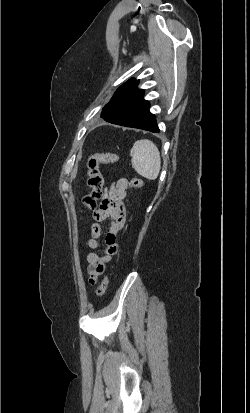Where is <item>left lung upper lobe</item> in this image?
<instances>
[{
	"label": "left lung upper lobe",
	"instance_id": "left-lung-upper-lobe-1",
	"mask_svg": "<svg viewBox=\"0 0 250 413\" xmlns=\"http://www.w3.org/2000/svg\"><path fill=\"white\" fill-rule=\"evenodd\" d=\"M138 83L139 80L132 78L121 85L114 93L111 101L103 108L101 117L104 118L117 112L120 108L122 100L137 89Z\"/></svg>",
	"mask_w": 250,
	"mask_h": 413
}]
</instances>
